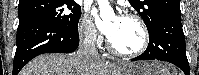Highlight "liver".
<instances>
[{"mask_svg":"<svg viewBox=\"0 0 199 75\" xmlns=\"http://www.w3.org/2000/svg\"><path fill=\"white\" fill-rule=\"evenodd\" d=\"M171 68V66H170ZM164 68L167 73L171 69ZM110 65L99 59L73 54H43L29 62L19 75H110ZM175 75V71H172Z\"/></svg>","mask_w":199,"mask_h":75,"instance_id":"liver-1","label":"liver"}]
</instances>
